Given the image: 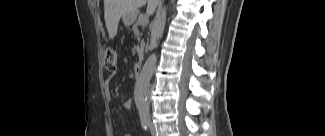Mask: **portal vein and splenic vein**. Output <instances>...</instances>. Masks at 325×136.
I'll use <instances>...</instances> for the list:
<instances>
[{
  "label": "portal vein and splenic vein",
  "mask_w": 325,
  "mask_h": 136,
  "mask_svg": "<svg viewBox=\"0 0 325 136\" xmlns=\"http://www.w3.org/2000/svg\"><path fill=\"white\" fill-rule=\"evenodd\" d=\"M141 23L142 24H147L148 23V16L146 15V16H143L142 18H141Z\"/></svg>",
  "instance_id": "portal-vein-and-splenic-vein-1"
}]
</instances>
